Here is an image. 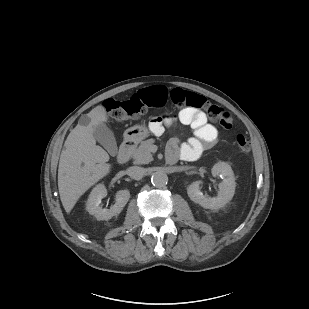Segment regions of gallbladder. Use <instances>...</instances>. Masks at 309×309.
I'll return each instance as SVG.
<instances>
[{
  "label": "gallbladder",
  "instance_id": "1",
  "mask_svg": "<svg viewBox=\"0 0 309 309\" xmlns=\"http://www.w3.org/2000/svg\"><path fill=\"white\" fill-rule=\"evenodd\" d=\"M93 135L110 155L115 156L118 153L114 134L105 123H101L96 126Z\"/></svg>",
  "mask_w": 309,
  "mask_h": 309
}]
</instances>
